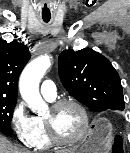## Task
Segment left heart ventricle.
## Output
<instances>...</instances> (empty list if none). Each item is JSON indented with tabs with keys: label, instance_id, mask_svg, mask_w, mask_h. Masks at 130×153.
Returning <instances> with one entry per match:
<instances>
[{
	"label": "left heart ventricle",
	"instance_id": "b2bd125f",
	"mask_svg": "<svg viewBox=\"0 0 130 153\" xmlns=\"http://www.w3.org/2000/svg\"><path fill=\"white\" fill-rule=\"evenodd\" d=\"M53 121L57 133L64 138H74L82 129L81 114L73 105L62 106L53 114Z\"/></svg>",
	"mask_w": 130,
	"mask_h": 153
}]
</instances>
